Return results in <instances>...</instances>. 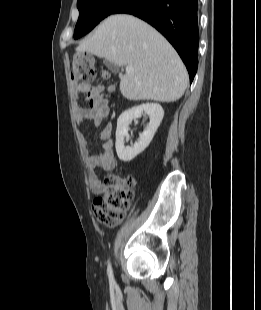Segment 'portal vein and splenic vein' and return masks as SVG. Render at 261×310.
Returning a JSON list of instances; mask_svg holds the SVG:
<instances>
[{
  "mask_svg": "<svg viewBox=\"0 0 261 310\" xmlns=\"http://www.w3.org/2000/svg\"><path fill=\"white\" fill-rule=\"evenodd\" d=\"M133 71V67H131V66H126V72L127 73H130V72H132Z\"/></svg>",
  "mask_w": 261,
  "mask_h": 310,
  "instance_id": "1",
  "label": "portal vein and splenic vein"
}]
</instances>
